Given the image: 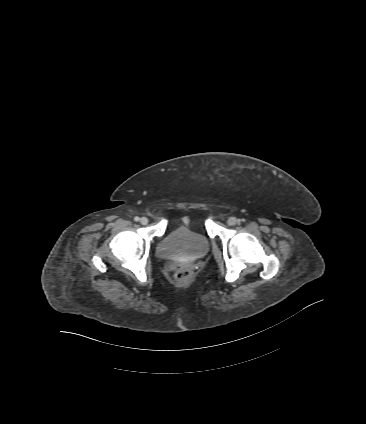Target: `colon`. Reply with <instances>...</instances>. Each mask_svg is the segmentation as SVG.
Returning a JSON list of instances; mask_svg holds the SVG:
<instances>
[{
    "instance_id": "obj_1",
    "label": "colon",
    "mask_w": 366,
    "mask_h": 424,
    "mask_svg": "<svg viewBox=\"0 0 366 424\" xmlns=\"http://www.w3.org/2000/svg\"><path fill=\"white\" fill-rule=\"evenodd\" d=\"M173 273L178 281L185 282L190 278L191 271L184 266L173 267Z\"/></svg>"
}]
</instances>
